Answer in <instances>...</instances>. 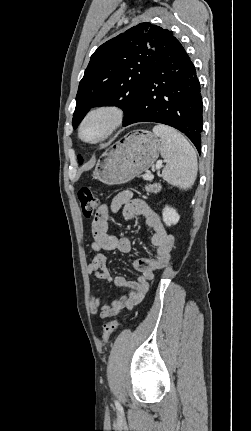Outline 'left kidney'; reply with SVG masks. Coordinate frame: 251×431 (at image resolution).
I'll return each mask as SVG.
<instances>
[{
	"instance_id": "1",
	"label": "left kidney",
	"mask_w": 251,
	"mask_h": 431,
	"mask_svg": "<svg viewBox=\"0 0 251 431\" xmlns=\"http://www.w3.org/2000/svg\"><path fill=\"white\" fill-rule=\"evenodd\" d=\"M162 216H163V221L167 226L177 224L180 219V216L177 213V211L174 208L167 205L163 209Z\"/></svg>"
}]
</instances>
